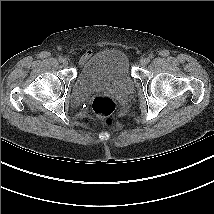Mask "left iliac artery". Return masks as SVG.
I'll return each mask as SVG.
<instances>
[{
	"label": "left iliac artery",
	"instance_id": "left-iliac-artery-1",
	"mask_svg": "<svg viewBox=\"0 0 214 214\" xmlns=\"http://www.w3.org/2000/svg\"><path fill=\"white\" fill-rule=\"evenodd\" d=\"M152 58H153V55L150 54L149 57H148V60L150 61V59H152Z\"/></svg>",
	"mask_w": 214,
	"mask_h": 214
}]
</instances>
